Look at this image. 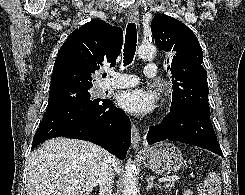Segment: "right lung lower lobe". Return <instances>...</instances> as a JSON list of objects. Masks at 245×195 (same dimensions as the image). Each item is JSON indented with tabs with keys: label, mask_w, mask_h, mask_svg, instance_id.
<instances>
[{
	"label": "right lung lower lobe",
	"mask_w": 245,
	"mask_h": 195,
	"mask_svg": "<svg viewBox=\"0 0 245 195\" xmlns=\"http://www.w3.org/2000/svg\"><path fill=\"white\" fill-rule=\"evenodd\" d=\"M55 137L90 141L125 159L131 143V124L124 111L108 99L64 103L47 109L32 148Z\"/></svg>",
	"instance_id": "right-lung-lower-lobe-1"
}]
</instances>
